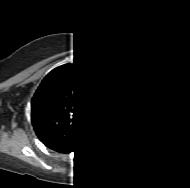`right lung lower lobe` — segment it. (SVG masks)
Instances as JSON below:
<instances>
[{"label":"right lung lower lobe","mask_w":190,"mask_h":188,"mask_svg":"<svg viewBox=\"0 0 190 188\" xmlns=\"http://www.w3.org/2000/svg\"><path fill=\"white\" fill-rule=\"evenodd\" d=\"M87 138V137H86ZM86 138L83 139L81 142H79L78 144L76 145H71V146H66V147H63L59 150H57L58 152H62V153H69L71 151H74L76 150L77 148H79L85 141H86Z\"/></svg>","instance_id":"obj_1"}]
</instances>
